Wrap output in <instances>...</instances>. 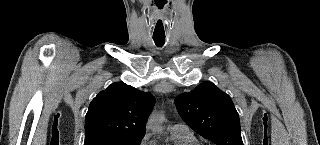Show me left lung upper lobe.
<instances>
[{
  "label": "left lung upper lobe",
  "mask_w": 320,
  "mask_h": 145,
  "mask_svg": "<svg viewBox=\"0 0 320 145\" xmlns=\"http://www.w3.org/2000/svg\"><path fill=\"white\" fill-rule=\"evenodd\" d=\"M182 119L216 145H243L239 115L231 98L206 81L175 98Z\"/></svg>",
  "instance_id": "obj_1"
}]
</instances>
